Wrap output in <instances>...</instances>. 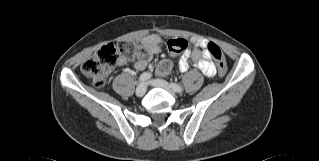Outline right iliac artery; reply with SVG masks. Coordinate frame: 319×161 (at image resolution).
<instances>
[{
	"label": "right iliac artery",
	"instance_id": "82829eb1",
	"mask_svg": "<svg viewBox=\"0 0 319 161\" xmlns=\"http://www.w3.org/2000/svg\"><path fill=\"white\" fill-rule=\"evenodd\" d=\"M152 77V74L149 72H144L140 75L139 81L140 82H146Z\"/></svg>",
	"mask_w": 319,
	"mask_h": 161
}]
</instances>
